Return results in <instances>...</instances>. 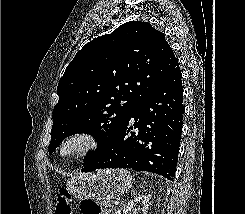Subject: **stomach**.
I'll use <instances>...</instances> for the list:
<instances>
[{"label": "stomach", "instance_id": "obj_1", "mask_svg": "<svg viewBox=\"0 0 245 214\" xmlns=\"http://www.w3.org/2000/svg\"><path fill=\"white\" fill-rule=\"evenodd\" d=\"M133 180L125 169H101L80 173L67 183L69 192L78 200L96 199L110 202L132 186Z\"/></svg>", "mask_w": 245, "mask_h": 214}]
</instances>
